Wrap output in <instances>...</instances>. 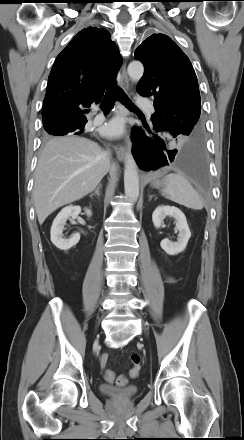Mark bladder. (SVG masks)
Segmentation results:
<instances>
[{
  "instance_id": "bladder-1",
  "label": "bladder",
  "mask_w": 244,
  "mask_h": 440,
  "mask_svg": "<svg viewBox=\"0 0 244 440\" xmlns=\"http://www.w3.org/2000/svg\"><path fill=\"white\" fill-rule=\"evenodd\" d=\"M99 389L103 395L120 402L131 401L138 395V389L135 386L117 388L112 385L101 384Z\"/></svg>"
}]
</instances>
